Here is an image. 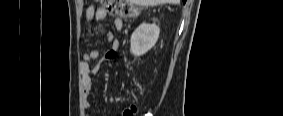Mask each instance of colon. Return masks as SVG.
I'll list each match as a JSON object with an SVG mask.
<instances>
[{
	"mask_svg": "<svg viewBox=\"0 0 283 116\" xmlns=\"http://www.w3.org/2000/svg\"><path fill=\"white\" fill-rule=\"evenodd\" d=\"M107 10L123 18H136L139 14V8L131 0H103ZM136 107L130 105L123 111L124 116L135 115Z\"/></svg>",
	"mask_w": 283,
	"mask_h": 116,
	"instance_id": "1",
	"label": "colon"
}]
</instances>
